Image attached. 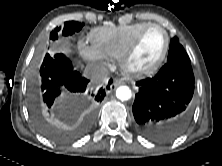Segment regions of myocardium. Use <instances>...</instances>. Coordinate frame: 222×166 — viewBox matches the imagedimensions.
Listing matches in <instances>:
<instances>
[{
  "label": "myocardium",
  "mask_w": 222,
  "mask_h": 166,
  "mask_svg": "<svg viewBox=\"0 0 222 166\" xmlns=\"http://www.w3.org/2000/svg\"><path fill=\"white\" fill-rule=\"evenodd\" d=\"M151 28H159L163 31L164 36H165V43H164L163 50L159 58L156 60V62L150 67L145 68V69H132L130 68L128 64L129 58L134 52V50L136 49L143 35ZM169 46H170V35L168 31L166 30V28L159 23H148L134 36V38L130 41V43L127 45V47L124 49V51L120 55L119 57L120 67L126 74L131 75V76L150 75L154 73L155 71H157L160 68V66L163 64L168 54Z\"/></svg>",
  "instance_id": "myocardium-1"
}]
</instances>
